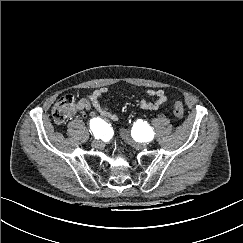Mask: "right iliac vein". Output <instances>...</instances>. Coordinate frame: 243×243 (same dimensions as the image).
Wrapping results in <instances>:
<instances>
[{
	"label": "right iliac vein",
	"mask_w": 243,
	"mask_h": 243,
	"mask_svg": "<svg viewBox=\"0 0 243 243\" xmlns=\"http://www.w3.org/2000/svg\"><path fill=\"white\" fill-rule=\"evenodd\" d=\"M92 145L94 147H98L100 145V141L99 140H93Z\"/></svg>",
	"instance_id": "right-iliac-vein-1"
}]
</instances>
